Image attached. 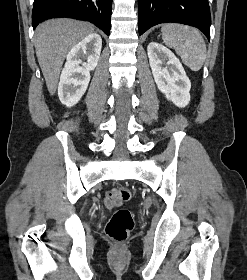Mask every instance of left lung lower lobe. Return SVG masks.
<instances>
[{"label": "left lung lower lobe", "mask_w": 247, "mask_h": 280, "mask_svg": "<svg viewBox=\"0 0 247 280\" xmlns=\"http://www.w3.org/2000/svg\"><path fill=\"white\" fill-rule=\"evenodd\" d=\"M166 22L194 26L209 39L211 15L208 0H138L139 35Z\"/></svg>", "instance_id": "obj_1"}]
</instances>
